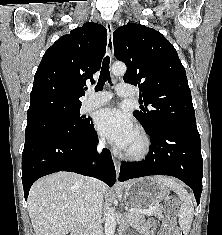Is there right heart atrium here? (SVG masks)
I'll return each mask as SVG.
<instances>
[{"instance_id":"obj_1","label":"right heart atrium","mask_w":222,"mask_h":235,"mask_svg":"<svg viewBox=\"0 0 222 235\" xmlns=\"http://www.w3.org/2000/svg\"><path fill=\"white\" fill-rule=\"evenodd\" d=\"M98 143H99L100 146H102V145H103V139H102V138H99V139H98Z\"/></svg>"}]
</instances>
